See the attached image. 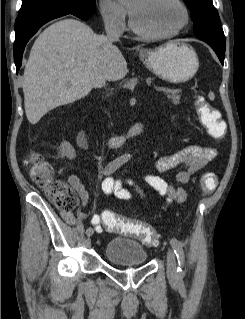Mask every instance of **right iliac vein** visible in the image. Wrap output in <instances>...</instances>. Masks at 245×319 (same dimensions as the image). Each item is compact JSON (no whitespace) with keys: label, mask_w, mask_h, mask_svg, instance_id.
Wrapping results in <instances>:
<instances>
[{"label":"right iliac vein","mask_w":245,"mask_h":319,"mask_svg":"<svg viewBox=\"0 0 245 319\" xmlns=\"http://www.w3.org/2000/svg\"><path fill=\"white\" fill-rule=\"evenodd\" d=\"M88 236V235H87ZM91 236V235H90ZM90 236H88V237H90ZM88 241H90V239L88 238Z\"/></svg>","instance_id":"right-iliac-vein-1"}]
</instances>
